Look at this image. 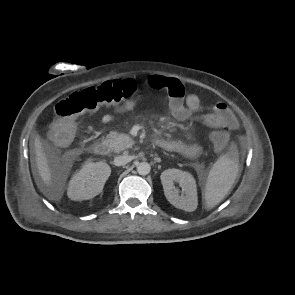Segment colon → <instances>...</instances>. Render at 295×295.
<instances>
[{
    "label": "colon",
    "instance_id": "5ec220e1",
    "mask_svg": "<svg viewBox=\"0 0 295 295\" xmlns=\"http://www.w3.org/2000/svg\"><path fill=\"white\" fill-rule=\"evenodd\" d=\"M139 84L133 79L111 80L71 93L56 106L57 118L50 129V138L58 145H67L75 133V119L83 113L102 106H119L131 100L138 92ZM217 150L228 147L230 137L221 130L211 134Z\"/></svg>",
    "mask_w": 295,
    "mask_h": 295
}]
</instances>
